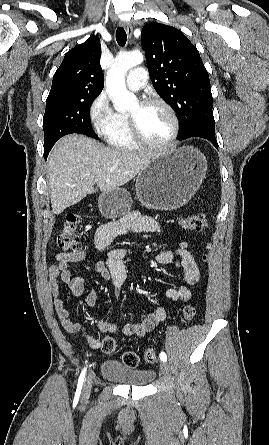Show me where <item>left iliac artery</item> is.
Instances as JSON below:
<instances>
[{
	"label": "left iliac artery",
	"instance_id": "left-iliac-artery-1",
	"mask_svg": "<svg viewBox=\"0 0 269 445\" xmlns=\"http://www.w3.org/2000/svg\"><path fill=\"white\" fill-rule=\"evenodd\" d=\"M160 359H161L162 361H167V355H166L165 352H161V353H160Z\"/></svg>",
	"mask_w": 269,
	"mask_h": 445
}]
</instances>
